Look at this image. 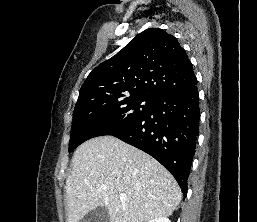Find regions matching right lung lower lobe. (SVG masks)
Segmentation results:
<instances>
[{
	"instance_id": "1",
	"label": "right lung lower lobe",
	"mask_w": 257,
	"mask_h": 222,
	"mask_svg": "<svg viewBox=\"0 0 257 222\" xmlns=\"http://www.w3.org/2000/svg\"><path fill=\"white\" fill-rule=\"evenodd\" d=\"M197 81L156 99L154 109L112 136L148 153L177 180L183 195L196 149L200 110Z\"/></svg>"
}]
</instances>
